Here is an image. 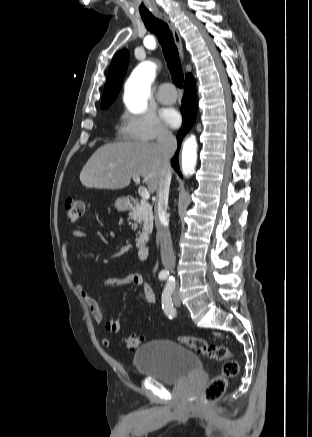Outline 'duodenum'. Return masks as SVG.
<instances>
[{
	"label": "duodenum",
	"mask_w": 312,
	"mask_h": 437,
	"mask_svg": "<svg viewBox=\"0 0 312 437\" xmlns=\"http://www.w3.org/2000/svg\"><path fill=\"white\" fill-rule=\"evenodd\" d=\"M127 208H133L137 205L138 201L131 196H127L124 199ZM151 248L145 243H140L137 247V256L141 261L147 260L150 255Z\"/></svg>",
	"instance_id": "duodenum-1"
}]
</instances>
